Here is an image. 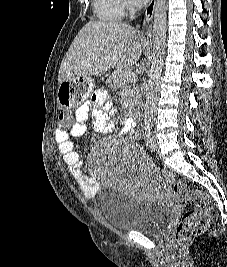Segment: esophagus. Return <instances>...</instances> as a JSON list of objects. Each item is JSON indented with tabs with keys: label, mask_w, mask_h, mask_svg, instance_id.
<instances>
[{
	"label": "esophagus",
	"mask_w": 227,
	"mask_h": 267,
	"mask_svg": "<svg viewBox=\"0 0 227 267\" xmlns=\"http://www.w3.org/2000/svg\"><path fill=\"white\" fill-rule=\"evenodd\" d=\"M156 4H157V0H150L146 8L144 26H143V32L145 35H148V33L150 32L152 28V22H153V16H154Z\"/></svg>",
	"instance_id": "esophagus-1"
}]
</instances>
